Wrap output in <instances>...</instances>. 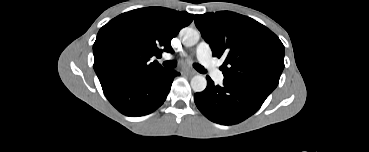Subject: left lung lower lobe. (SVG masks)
Listing matches in <instances>:
<instances>
[{
	"mask_svg": "<svg viewBox=\"0 0 369 152\" xmlns=\"http://www.w3.org/2000/svg\"><path fill=\"white\" fill-rule=\"evenodd\" d=\"M203 92L194 95L198 109L211 121L222 125L238 124L253 115L271 93L250 84L223 80L215 86L209 76Z\"/></svg>",
	"mask_w": 369,
	"mask_h": 152,
	"instance_id": "0a47b994",
	"label": "left lung lower lobe"
}]
</instances>
